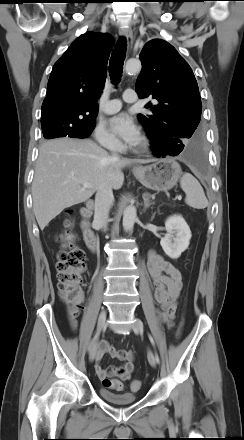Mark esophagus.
<instances>
[{"label": "esophagus", "mask_w": 244, "mask_h": 440, "mask_svg": "<svg viewBox=\"0 0 244 440\" xmlns=\"http://www.w3.org/2000/svg\"><path fill=\"white\" fill-rule=\"evenodd\" d=\"M121 36H124L127 39L128 48L131 50L133 45V33L131 28L129 27H121L119 30Z\"/></svg>", "instance_id": "1"}]
</instances>
